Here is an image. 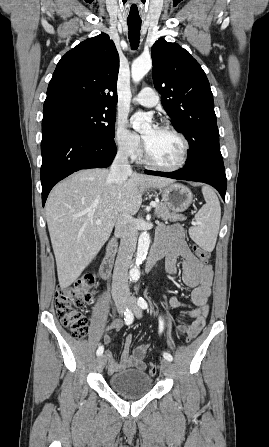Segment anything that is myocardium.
<instances>
[{
    "mask_svg": "<svg viewBox=\"0 0 269 447\" xmlns=\"http://www.w3.org/2000/svg\"><path fill=\"white\" fill-rule=\"evenodd\" d=\"M158 127L161 129H164V130L171 131L181 138V140L183 142V151H182L181 158L178 161V163H176L175 165H172V166L163 165V164H160V163L154 161L151 157V154H150L149 148L146 144V141L143 138V152H144L143 160H144V162L154 168H157L160 170H165V171H176V170L181 169L187 161V158L189 155V150H190V143H189L187 136L183 132H181L179 129L175 128L172 125L161 124Z\"/></svg>",
    "mask_w": 269,
    "mask_h": 447,
    "instance_id": "f54148a6",
    "label": "myocardium"
}]
</instances>
